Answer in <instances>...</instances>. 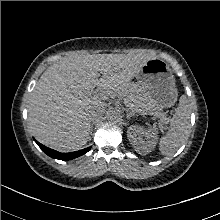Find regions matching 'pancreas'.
I'll return each mask as SVG.
<instances>
[{
	"label": "pancreas",
	"mask_w": 220,
	"mask_h": 220,
	"mask_svg": "<svg viewBox=\"0 0 220 220\" xmlns=\"http://www.w3.org/2000/svg\"><path fill=\"white\" fill-rule=\"evenodd\" d=\"M120 96L124 99L125 104L129 108L135 109L139 103L141 88L136 83H128L126 90Z\"/></svg>",
	"instance_id": "obj_1"
}]
</instances>
